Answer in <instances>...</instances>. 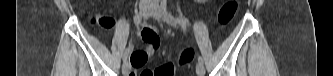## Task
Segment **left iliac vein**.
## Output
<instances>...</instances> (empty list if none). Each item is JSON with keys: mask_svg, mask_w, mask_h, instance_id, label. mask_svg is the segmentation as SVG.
Instances as JSON below:
<instances>
[{"mask_svg": "<svg viewBox=\"0 0 333 76\" xmlns=\"http://www.w3.org/2000/svg\"><path fill=\"white\" fill-rule=\"evenodd\" d=\"M151 15H152L153 18H155L157 20H162V21L168 23L171 26H176V21H175L174 17L171 14H168L167 12H165L157 4H153ZM196 73H197L198 76H204L205 75V68H204L203 63H201V62L197 63Z\"/></svg>", "mask_w": 333, "mask_h": 76, "instance_id": "obj_1", "label": "left iliac vein"}]
</instances>
